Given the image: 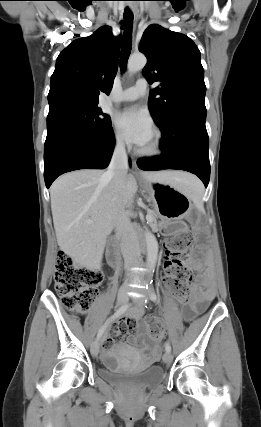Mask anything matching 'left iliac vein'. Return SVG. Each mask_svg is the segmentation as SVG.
Instances as JSON below:
<instances>
[{
	"instance_id": "left-iliac-vein-1",
	"label": "left iliac vein",
	"mask_w": 261,
	"mask_h": 427,
	"mask_svg": "<svg viewBox=\"0 0 261 427\" xmlns=\"http://www.w3.org/2000/svg\"><path fill=\"white\" fill-rule=\"evenodd\" d=\"M146 299H147L146 297H140V298L135 299L134 302L136 303L137 306L142 308L145 305ZM172 360H173L172 354L170 352L166 351L163 355L164 363L170 364L172 362Z\"/></svg>"
}]
</instances>
